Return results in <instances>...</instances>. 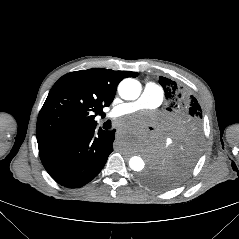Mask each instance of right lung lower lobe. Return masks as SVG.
I'll list each match as a JSON object with an SVG mask.
<instances>
[{"mask_svg": "<svg viewBox=\"0 0 239 239\" xmlns=\"http://www.w3.org/2000/svg\"><path fill=\"white\" fill-rule=\"evenodd\" d=\"M115 130L95 128L73 138L39 149L40 159L49 175L68 188L81 187L104 167L113 151Z\"/></svg>", "mask_w": 239, "mask_h": 239, "instance_id": "1", "label": "right lung lower lobe"}]
</instances>
